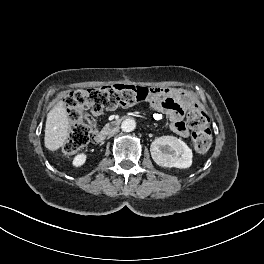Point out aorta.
<instances>
[{"label":"aorta","instance_id":"aorta-1","mask_svg":"<svg viewBox=\"0 0 264 264\" xmlns=\"http://www.w3.org/2000/svg\"><path fill=\"white\" fill-rule=\"evenodd\" d=\"M136 122L133 119H126L121 124V129L124 132H131L135 129Z\"/></svg>","mask_w":264,"mask_h":264}]
</instances>
